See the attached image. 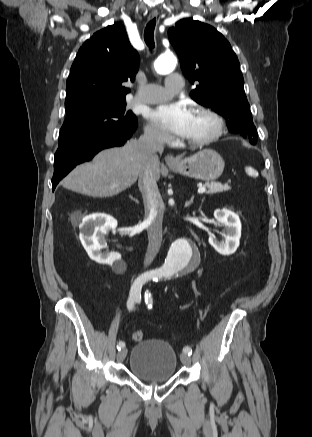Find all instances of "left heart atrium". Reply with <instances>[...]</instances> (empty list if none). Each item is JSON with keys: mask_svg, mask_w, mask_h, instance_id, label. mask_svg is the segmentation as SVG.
Masks as SVG:
<instances>
[{"mask_svg": "<svg viewBox=\"0 0 312 437\" xmlns=\"http://www.w3.org/2000/svg\"><path fill=\"white\" fill-rule=\"evenodd\" d=\"M192 111L182 103H168L158 106L150 114L161 128L184 137L190 128Z\"/></svg>", "mask_w": 312, "mask_h": 437, "instance_id": "left-heart-atrium-1", "label": "left heart atrium"}]
</instances>
